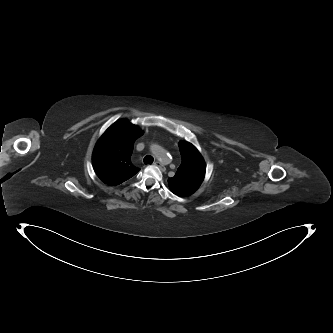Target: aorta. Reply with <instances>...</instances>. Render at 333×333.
<instances>
[{
  "label": "aorta",
  "mask_w": 333,
  "mask_h": 333,
  "mask_svg": "<svg viewBox=\"0 0 333 333\" xmlns=\"http://www.w3.org/2000/svg\"><path fill=\"white\" fill-rule=\"evenodd\" d=\"M152 152L161 163H166V162L170 161V157L163 152V149L161 146H158V145L153 146Z\"/></svg>",
  "instance_id": "762f6f07"
}]
</instances>
